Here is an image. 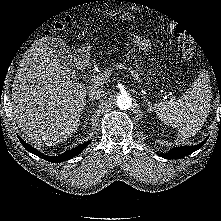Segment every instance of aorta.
I'll return each mask as SVG.
<instances>
[{"instance_id":"aorta-1","label":"aorta","mask_w":221,"mask_h":221,"mask_svg":"<svg viewBox=\"0 0 221 221\" xmlns=\"http://www.w3.org/2000/svg\"><path fill=\"white\" fill-rule=\"evenodd\" d=\"M116 103L121 110H127L132 106V98L127 94H120L116 99Z\"/></svg>"}]
</instances>
